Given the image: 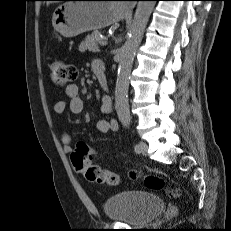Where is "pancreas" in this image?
Listing matches in <instances>:
<instances>
[{
	"instance_id": "1",
	"label": "pancreas",
	"mask_w": 231,
	"mask_h": 231,
	"mask_svg": "<svg viewBox=\"0 0 231 231\" xmlns=\"http://www.w3.org/2000/svg\"><path fill=\"white\" fill-rule=\"evenodd\" d=\"M100 32H93L90 35H87L85 40L81 42L79 50L97 52L99 51V44L101 43Z\"/></svg>"
}]
</instances>
